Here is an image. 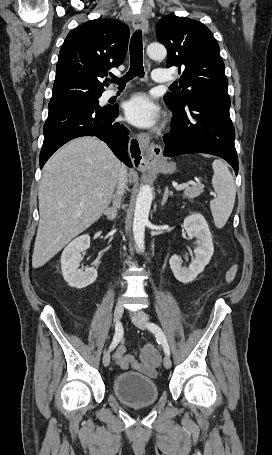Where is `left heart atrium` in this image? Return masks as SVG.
I'll use <instances>...</instances> for the list:
<instances>
[{
  "label": "left heart atrium",
  "instance_id": "obj_1",
  "mask_svg": "<svg viewBox=\"0 0 272 455\" xmlns=\"http://www.w3.org/2000/svg\"><path fill=\"white\" fill-rule=\"evenodd\" d=\"M127 120L133 125L148 128L159 119V108L154 101L144 93L134 95L124 106Z\"/></svg>",
  "mask_w": 272,
  "mask_h": 455
}]
</instances>
